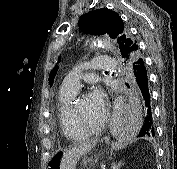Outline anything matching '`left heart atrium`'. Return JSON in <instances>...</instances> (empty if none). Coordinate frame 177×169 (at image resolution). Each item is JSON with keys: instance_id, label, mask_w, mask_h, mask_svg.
Wrapping results in <instances>:
<instances>
[{"instance_id": "39dd6f15", "label": "left heart atrium", "mask_w": 177, "mask_h": 169, "mask_svg": "<svg viewBox=\"0 0 177 169\" xmlns=\"http://www.w3.org/2000/svg\"><path fill=\"white\" fill-rule=\"evenodd\" d=\"M89 97L98 108L105 110L104 93L99 87H93L89 94Z\"/></svg>"}]
</instances>
